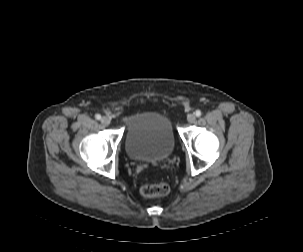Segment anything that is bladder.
<instances>
[{
	"label": "bladder",
	"mask_w": 303,
	"mask_h": 252,
	"mask_svg": "<svg viewBox=\"0 0 303 252\" xmlns=\"http://www.w3.org/2000/svg\"><path fill=\"white\" fill-rule=\"evenodd\" d=\"M124 146L132 160H167L175 148L170 121L165 115L153 111L131 117L125 124Z\"/></svg>",
	"instance_id": "1"
}]
</instances>
